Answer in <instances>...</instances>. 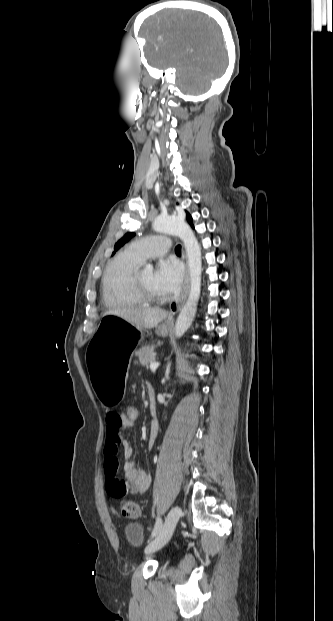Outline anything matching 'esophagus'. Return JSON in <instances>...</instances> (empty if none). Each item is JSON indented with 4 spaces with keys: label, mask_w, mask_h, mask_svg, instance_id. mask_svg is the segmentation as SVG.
Wrapping results in <instances>:
<instances>
[{
    "label": "esophagus",
    "mask_w": 333,
    "mask_h": 621,
    "mask_svg": "<svg viewBox=\"0 0 333 621\" xmlns=\"http://www.w3.org/2000/svg\"><path fill=\"white\" fill-rule=\"evenodd\" d=\"M188 292H189V275H188V270H187L186 278H185V286H184L182 295L178 300L172 302L170 305V315L166 321L167 325L172 322V318L175 315V313L178 312L182 308L187 298Z\"/></svg>",
    "instance_id": "1"
}]
</instances>
